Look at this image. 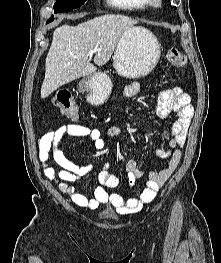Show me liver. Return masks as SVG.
I'll list each match as a JSON object with an SVG mask.
<instances>
[{"instance_id":"1","label":"liver","mask_w":221,"mask_h":263,"mask_svg":"<svg viewBox=\"0 0 221 263\" xmlns=\"http://www.w3.org/2000/svg\"><path fill=\"white\" fill-rule=\"evenodd\" d=\"M137 23L124 15L107 14L77 26L56 28L46 57L41 97H48L60 86L96 71L89 61L90 50H95L94 63L105 65L123 34Z\"/></svg>"}]
</instances>
